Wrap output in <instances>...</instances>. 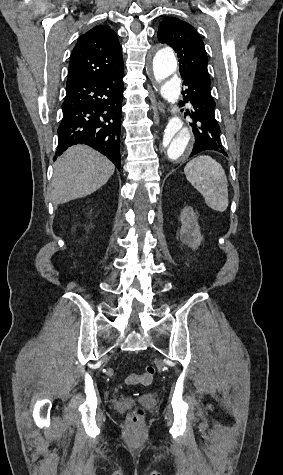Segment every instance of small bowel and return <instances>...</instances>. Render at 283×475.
<instances>
[{"mask_svg":"<svg viewBox=\"0 0 283 475\" xmlns=\"http://www.w3.org/2000/svg\"><path fill=\"white\" fill-rule=\"evenodd\" d=\"M127 378L128 379H138L139 378V373L138 372H128L127 373ZM138 383H142L141 381H138ZM145 384V383H142Z\"/></svg>","mask_w":283,"mask_h":475,"instance_id":"1","label":"small bowel"}]
</instances>
